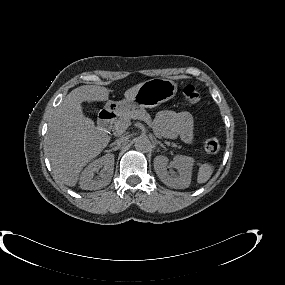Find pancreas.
Listing matches in <instances>:
<instances>
[{
  "instance_id": "1",
  "label": "pancreas",
  "mask_w": 285,
  "mask_h": 285,
  "mask_svg": "<svg viewBox=\"0 0 285 285\" xmlns=\"http://www.w3.org/2000/svg\"><path fill=\"white\" fill-rule=\"evenodd\" d=\"M147 119L150 120L151 117L149 113L144 108L133 109L131 111H126L120 115V117L114 122L113 131L116 135H121L129 126L130 120L136 119ZM167 145H172L173 147H178L177 144L165 141ZM180 148V147H179Z\"/></svg>"
}]
</instances>
